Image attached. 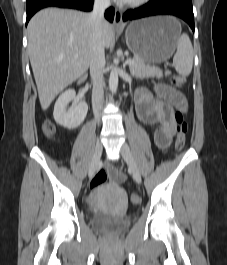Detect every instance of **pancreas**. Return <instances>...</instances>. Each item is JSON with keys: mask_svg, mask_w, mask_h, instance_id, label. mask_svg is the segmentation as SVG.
Segmentation results:
<instances>
[{"mask_svg": "<svg viewBox=\"0 0 227 265\" xmlns=\"http://www.w3.org/2000/svg\"><path fill=\"white\" fill-rule=\"evenodd\" d=\"M133 64L130 65L131 75L136 78H144V77H156L161 78L163 75H169V71H163L159 68L152 67L145 62L141 61L138 58H133Z\"/></svg>", "mask_w": 227, "mask_h": 265, "instance_id": "1", "label": "pancreas"}]
</instances>
